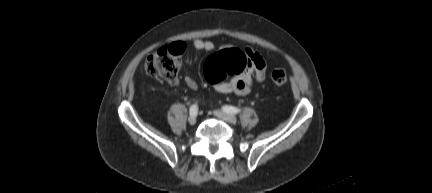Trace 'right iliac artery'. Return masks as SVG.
Listing matches in <instances>:
<instances>
[{
  "label": "right iliac artery",
  "mask_w": 432,
  "mask_h": 193,
  "mask_svg": "<svg viewBox=\"0 0 432 193\" xmlns=\"http://www.w3.org/2000/svg\"><path fill=\"white\" fill-rule=\"evenodd\" d=\"M197 112H198V106H197V104L191 105V107L189 109L190 115H197Z\"/></svg>",
  "instance_id": "right-iliac-artery-1"
}]
</instances>
